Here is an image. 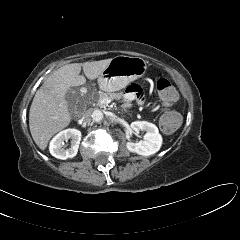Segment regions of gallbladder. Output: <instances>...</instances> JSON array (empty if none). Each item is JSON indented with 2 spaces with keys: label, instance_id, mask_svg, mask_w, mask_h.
<instances>
[{
  "label": "gallbladder",
  "instance_id": "bac80fb5",
  "mask_svg": "<svg viewBox=\"0 0 240 240\" xmlns=\"http://www.w3.org/2000/svg\"><path fill=\"white\" fill-rule=\"evenodd\" d=\"M67 100L71 103V95L67 94Z\"/></svg>",
  "mask_w": 240,
  "mask_h": 240
}]
</instances>
